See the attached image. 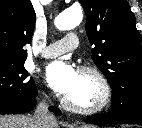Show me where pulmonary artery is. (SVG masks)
Here are the masks:
<instances>
[{
    "mask_svg": "<svg viewBox=\"0 0 142 128\" xmlns=\"http://www.w3.org/2000/svg\"><path fill=\"white\" fill-rule=\"evenodd\" d=\"M79 39L75 33H68L61 40L48 45L41 53L44 58H54L78 48Z\"/></svg>",
    "mask_w": 142,
    "mask_h": 128,
    "instance_id": "pulmonary-artery-1",
    "label": "pulmonary artery"
}]
</instances>
